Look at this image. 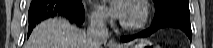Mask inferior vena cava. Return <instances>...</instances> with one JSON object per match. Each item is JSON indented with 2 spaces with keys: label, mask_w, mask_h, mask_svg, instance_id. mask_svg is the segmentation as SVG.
Instances as JSON below:
<instances>
[{
  "label": "inferior vena cava",
  "mask_w": 213,
  "mask_h": 48,
  "mask_svg": "<svg viewBox=\"0 0 213 48\" xmlns=\"http://www.w3.org/2000/svg\"><path fill=\"white\" fill-rule=\"evenodd\" d=\"M85 38L89 48H101V45L107 41L108 30L103 13L92 14Z\"/></svg>",
  "instance_id": "inferior-vena-cava-1"
}]
</instances>
